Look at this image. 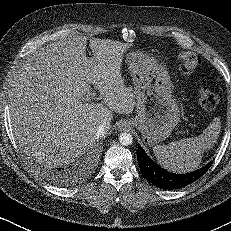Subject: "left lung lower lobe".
I'll use <instances>...</instances> for the list:
<instances>
[{
  "label": "left lung lower lobe",
  "mask_w": 231,
  "mask_h": 231,
  "mask_svg": "<svg viewBox=\"0 0 231 231\" xmlns=\"http://www.w3.org/2000/svg\"><path fill=\"white\" fill-rule=\"evenodd\" d=\"M137 160L142 175L153 185L162 189H179L199 179L212 165V161L204 167L187 174H173L154 163L138 145Z\"/></svg>",
  "instance_id": "obj_1"
}]
</instances>
